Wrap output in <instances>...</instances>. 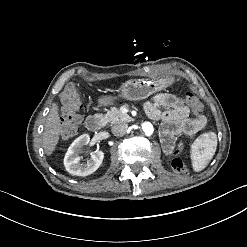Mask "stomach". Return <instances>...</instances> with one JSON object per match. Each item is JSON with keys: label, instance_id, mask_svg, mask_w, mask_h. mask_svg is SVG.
<instances>
[{"label": "stomach", "instance_id": "stomach-1", "mask_svg": "<svg viewBox=\"0 0 247 247\" xmlns=\"http://www.w3.org/2000/svg\"><path fill=\"white\" fill-rule=\"evenodd\" d=\"M174 78H157L155 80L133 79L124 82L121 87V97L128 100H142L148 96L161 91L171 85ZM114 101L111 96L100 98L99 102L103 105H110Z\"/></svg>", "mask_w": 247, "mask_h": 247}]
</instances>
